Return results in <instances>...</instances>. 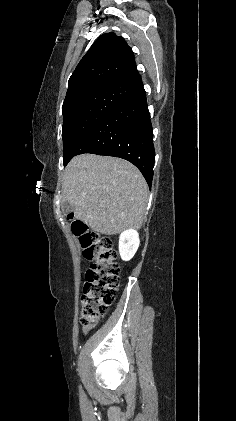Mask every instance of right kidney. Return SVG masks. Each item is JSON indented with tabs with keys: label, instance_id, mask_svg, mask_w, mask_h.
Here are the masks:
<instances>
[{
	"label": "right kidney",
	"instance_id": "right-kidney-1",
	"mask_svg": "<svg viewBox=\"0 0 236 421\" xmlns=\"http://www.w3.org/2000/svg\"><path fill=\"white\" fill-rule=\"evenodd\" d=\"M139 245L140 241L137 231H133V229L124 231L119 239V253L122 261H130L134 257Z\"/></svg>",
	"mask_w": 236,
	"mask_h": 421
}]
</instances>
